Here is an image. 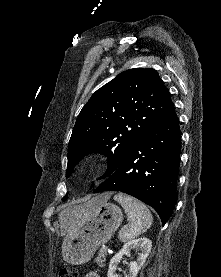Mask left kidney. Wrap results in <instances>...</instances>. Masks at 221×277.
Returning <instances> with one entry per match:
<instances>
[{"instance_id":"1","label":"left kidney","mask_w":221,"mask_h":277,"mask_svg":"<svg viewBox=\"0 0 221 277\" xmlns=\"http://www.w3.org/2000/svg\"><path fill=\"white\" fill-rule=\"evenodd\" d=\"M152 247V242L148 238L141 237L124 244L123 248L110 260L107 277H118L115 273L117 265L122 259L123 255L130 253L132 249L140 250L136 261L129 264V273L125 277H136L140 268L143 266L148 257Z\"/></svg>"}]
</instances>
